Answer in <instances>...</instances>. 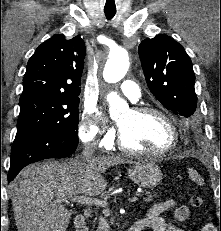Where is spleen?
<instances>
[{
    "mask_svg": "<svg viewBox=\"0 0 221 231\" xmlns=\"http://www.w3.org/2000/svg\"><path fill=\"white\" fill-rule=\"evenodd\" d=\"M189 176L191 179L196 180L199 184H201V179L198 176V173L196 171H193L192 169L188 170Z\"/></svg>",
    "mask_w": 221,
    "mask_h": 231,
    "instance_id": "obj_1",
    "label": "spleen"
}]
</instances>
